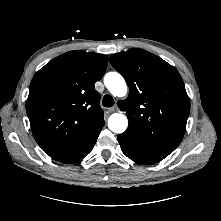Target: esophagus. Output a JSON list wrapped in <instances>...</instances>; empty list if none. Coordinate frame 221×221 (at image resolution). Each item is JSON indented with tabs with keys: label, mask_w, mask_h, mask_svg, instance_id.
Returning a JSON list of instances; mask_svg holds the SVG:
<instances>
[{
	"label": "esophagus",
	"mask_w": 221,
	"mask_h": 221,
	"mask_svg": "<svg viewBox=\"0 0 221 221\" xmlns=\"http://www.w3.org/2000/svg\"><path fill=\"white\" fill-rule=\"evenodd\" d=\"M119 109H118V107L117 106H114V107H112V108H109L108 109V112L109 113H113V112H117Z\"/></svg>",
	"instance_id": "1"
}]
</instances>
